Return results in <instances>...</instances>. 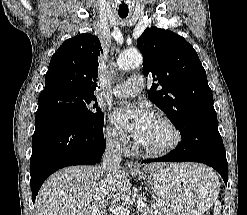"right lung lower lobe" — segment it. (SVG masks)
Masks as SVG:
<instances>
[{"label": "right lung lower lobe", "mask_w": 247, "mask_h": 215, "mask_svg": "<svg viewBox=\"0 0 247 215\" xmlns=\"http://www.w3.org/2000/svg\"><path fill=\"white\" fill-rule=\"evenodd\" d=\"M106 144L103 125L92 127L50 111H37L30 160L32 199L60 168L100 162Z\"/></svg>", "instance_id": "obj_1"}]
</instances>
